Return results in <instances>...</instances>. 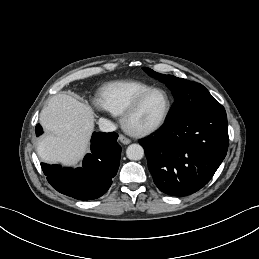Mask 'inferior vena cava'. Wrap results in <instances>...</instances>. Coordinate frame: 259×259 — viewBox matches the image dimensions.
<instances>
[{
	"label": "inferior vena cava",
	"mask_w": 259,
	"mask_h": 259,
	"mask_svg": "<svg viewBox=\"0 0 259 259\" xmlns=\"http://www.w3.org/2000/svg\"><path fill=\"white\" fill-rule=\"evenodd\" d=\"M98 125L102 132H113L117 128L113 122L105 118H100L98 120Z\"/></svg>",
	"instance_id": "obj_1"
}]
</instances>
